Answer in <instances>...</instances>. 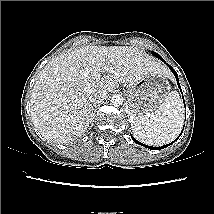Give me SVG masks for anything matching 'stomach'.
I'll list each match as a JSON object with an SVG mask.
<instances>
[{
	"mask_svg": "<svg viewBox=\"0 0 214 214\" xmlns=\"http://www.w3.org/2000/svg\"><path fill=\"white\" fill-rule=\"evenodd\" d=\"M170 84L166 73H153L137 82L129 84L128 114L129 116L150 114L160 107L170 92Z\"/></svg>",
	"mask_w": 214,
	"mask_h": 214,
	"instance_id": "stomach-1",
	"label": "stomach"
}]
</instances>
